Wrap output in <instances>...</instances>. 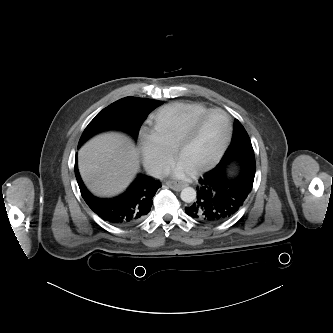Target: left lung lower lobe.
I'll return each instance as SVG.
<instances>
[{
  "label": "left lung lower lobe",
  "instance_id": "0a47b994",
  "mask_svg": "<svg viewBox=\"0 0 333 333\" xmlns=\"http://www.w3.org/2000/svg\"><path fill=\"white\" fill-rule=\"evenodd\" d=\"M238 171L229 179L228 171ZM256 171L255 158L244 156L219 163L199 180L197 200L185 212L200 222H220L243 205L252 190Z\"/></svg>",
  "mask_w": 333,
  "mask_h": 333
}]
</instances>
